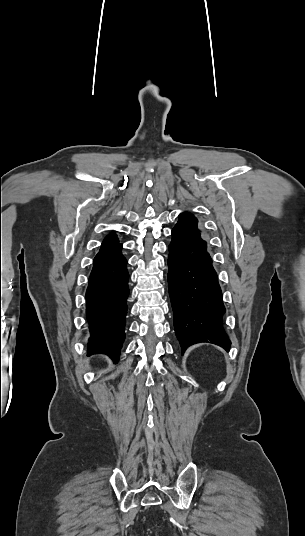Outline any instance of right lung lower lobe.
I'll return each instance as SVG.
<instances>
[{"label": "right lung lower lobe", "mask_w": 305, "mask_h": 536, "mask_svg": "<svg viewBox=\"0 0 305 536\" xmlns=\"http://www.w3.org/2000/svg\"><path fill=\"white\" fill-rule=\"evenodd\" d=\"M122 244L95 256L86 292V314L91 333L89 353H105L114 362L125 339L126 300L129 295Z\"/></svg>", "instance_id": "1"}]
</instances>
